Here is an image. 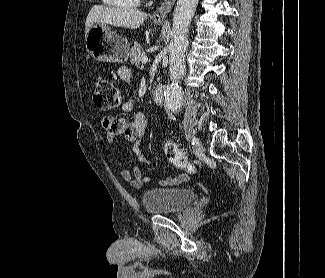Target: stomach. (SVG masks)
Listing matches in <instances>:
<instances>
[{"mask_svg": "<svg viewBox=\"0 0 325 278\" xmlns=\"http://www.w3.org/2000/svg\"><path fill=\"white\" fill-rule=\"evenodd\" d=\"M85 47L98 61L123 63L128 58L130 45L127 39L111 31L107 24L95 23L85 37Z\"/></svg>", "mask_w": 325, "mask_h": 278, "instance_id": "0dacf381", "label": "stomach"}]
</instances>
